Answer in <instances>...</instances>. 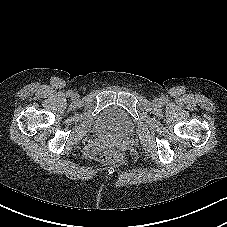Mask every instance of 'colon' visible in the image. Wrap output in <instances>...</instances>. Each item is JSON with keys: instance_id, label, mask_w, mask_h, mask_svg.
Segmentation results:
<instances>
[{"instance_id": "1", "label": "colon", "mask_w": 227, "mask_h": 227, "mask_svg": "<svg viewBox=\"0 0 227 227\" xmlns=\"http://www.w3.org/2000/svg\"><path fill=\"white\" fill-rule=\"evenodd\" d=\"M102 160L106 163L128 162L131 160V156L127 153L109 150L102 155Z\"/></svg>"}]
</instances>
